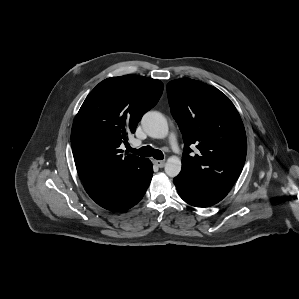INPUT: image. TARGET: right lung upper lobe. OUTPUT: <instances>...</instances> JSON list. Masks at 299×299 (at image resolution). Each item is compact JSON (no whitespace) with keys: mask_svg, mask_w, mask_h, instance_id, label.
I'll list each match as a JSON object with an SVG mask.
<instances>
[{"mask_svg":"<svg viewBox=\"0 0 299 299\" xmlns=\"http://www.w3.org/2000/svg\"><path fill=\"white\" fill-rule=\"evenodd\" d=\"M161 81L137 75L111 77L86 97L71 131V146L83 183L112 182L138 169L146 158L123 156L121 143L162 95Z\"/></svg>","mask_w":299,"mask_h":299,"instance_id":"obj_1","label":"right lung upper lobe"}]
</instances>
